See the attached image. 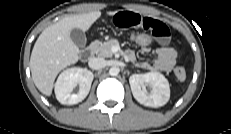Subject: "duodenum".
<instances>
[{
	"label": "duodenum",
	"instance_id": "duodenum-1",
	"mask_svg": "<svg viewBox=\"0 0 231 134\" xmlns=\"http://www.w3.org/2000/svg\"><path fill=\"white\" fill-rule=\"evenodd\" d=\"M92 51H93V45H91L87 50L82 52L81 59L87 60L89 58V56L91 55Z\"/></svg>",
	"mask_w": 231,
	"mask_h": 134
}]
</instances>
